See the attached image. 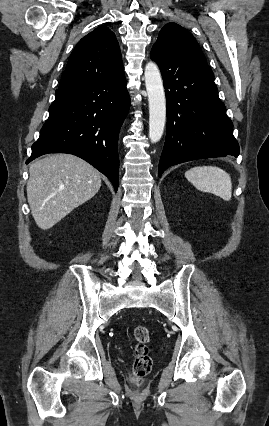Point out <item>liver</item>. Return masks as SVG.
<instances>
[{
  "instance_id": "liver-1",
  "label": "liver",
  "mask_w": 269,
  "mask_h": 426,
  "mask_svg": "<svg viewBox=\"0 0 269 426\" xmlns=\"http://www.w3.org/2000/svg\"><path fill=\"white\" fill-rule=\"evenodd\" d=\"M27 198L39 228L47 230L90 200L101 187V175L89 163L70 154L35 161L29 168Z\"/></svg>"
}]
</instances>
